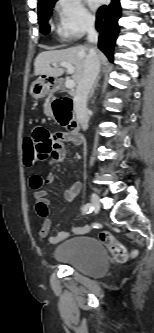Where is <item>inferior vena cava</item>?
Here are the masks:
<instances>
[{
  "label": "inferior vena cava",
  "mask_w": 154,
  "mask_h": 333,
  "mask_svg": "<svg viewBox=\"0 0 154 333\" xmlns=\"http://www.w3.org/2000/svg\"><path fill=\"white\" fill-rule=\"evenodd\" d=\"M87 40L92 44H97L98 33L95 29V23L89 21L86 23ZM100 69V61L97 56V52L94 48H91L85 60L84 73L80 81L78 82L76 92L74 95V112L77 120L80 123L82 129L85 131L88 128V112H87V98L91 92L93 85L97 79Z\"/></svg>",
  "instance_id": "1"
}]
</instances>
